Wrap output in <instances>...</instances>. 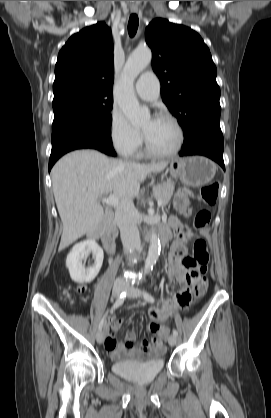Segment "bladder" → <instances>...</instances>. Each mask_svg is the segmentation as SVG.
<instances>
[{
  "label": "bladder",
  "instance_id": "31cf9c89",
  "mask_svg": "<svg viewBox=\"0 0 271 418\" xmlns=\"http://www.w3.org/2000/svg\"><path fill=\"white\" fill-rule=\"evenodd\" d=\"M165 368L162 354L153 355L144 361L118 360L113 364V372L138 384L152 382Z\"/></svg>",
  "mask_w": 271,
  "mask_h": 418
}]
</instances>
